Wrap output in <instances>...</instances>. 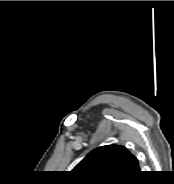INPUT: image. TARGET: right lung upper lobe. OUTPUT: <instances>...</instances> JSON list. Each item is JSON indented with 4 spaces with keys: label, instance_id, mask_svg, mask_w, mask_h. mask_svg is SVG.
Instances as JSON below:
<instances>
[{
    "label": "right lung upper lobe",
    "instance_id": "right-lung-upper-lobe-1",
    "mask_svg": "<svg viewBox=\"0 0 174 184\" xmlns=\"http://www.w3.org/2000/svg\"><path fill=\"white\" fill-rule=\"evenodd\" d=\"M87 181L121 182L140 172L136 157L125 147L102 146L90 152L73 170Z\"/></svg>",
    "mask_w": 174,
    "mask_h": 184
}]
</instances>
